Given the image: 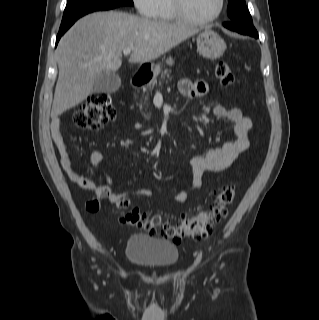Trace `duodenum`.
Instances as JSON below:
<instances>
[{
  "mask_svg": "<svg viewBox=\"0 0 319 320\" xmlns=\"http://www.w3.org/2000/svg\"><path fill=\"white\" fill-rule=\"evenodd\" d=\"M148 80V75L143 72H138L131 80L133 87H139Z\"/></svg>",
  "mask_w": 319,
  "mask_h": 320,
  "instance_id": "410a0bca",
  "label": "duodenum"
}]
</instances>
